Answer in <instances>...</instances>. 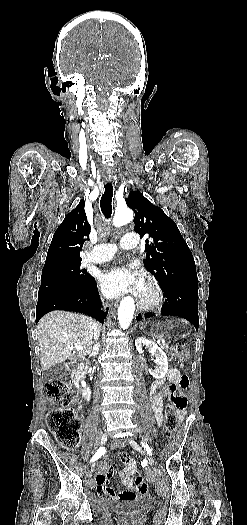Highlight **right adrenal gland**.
<instances>
[{
    "instance_id": "right-adrenal-gland-1",
    "label": "right adrenal gland",
    "mask_w": 247,
    "mask_h": 525,
    "mask_svg": "<svg viewBox=\"0 0 247 525\" xmlns=\"http://www.w3.org/2000/svg\"><path fill=\"white\" fill-rule=\"evenodd\" d=\"M99 349H100V343H95V345H93L92 353L91 355H89V357H93V355H98Z\"/></svg>"
}]
</instances>
